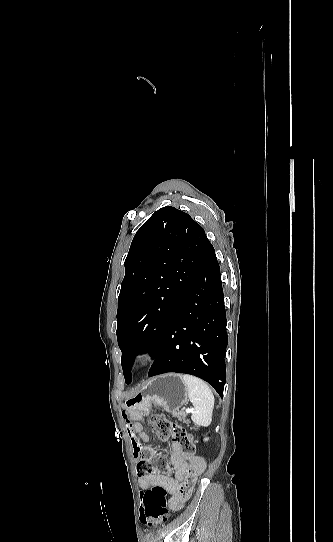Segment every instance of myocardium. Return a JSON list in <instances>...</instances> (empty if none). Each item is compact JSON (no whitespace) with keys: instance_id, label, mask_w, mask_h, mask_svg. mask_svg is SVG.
<instances>
[{"instance_id":"1","label":"myocardium","mask_w":333,"mask_h":542,"mask_svg":"<svg viewBox=\"0 0 333 542\" xmlns=\"http://www.w3.org/2000/svg\"><path fill=\"white\" fill-rule=\"evenodd\" d=\"M151 358V353L149 351L142 352L137 358L138 366H145Z\"/></svg>"}]
</instances>
